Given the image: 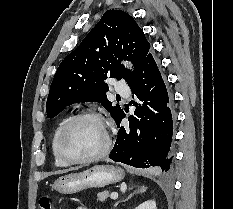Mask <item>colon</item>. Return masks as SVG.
I'll list each match as a JSON object with an SVG mask.
<instances>
[{
	"label": "colon",
	"instance_id": "colon-1",
	"mask_svg": "<svg viewBox=\"0 0 233 209\" xmlns=\"http://www.w3.org/2000/svg\"><path fill=\"white\" fill-rule=\"evenodd\" d=\"M39 209H55L53 200L50 196H41L38 202Z\"/></svg>",
	"mask_w": 233,
	"mask_h": 209
}]
</instances>
